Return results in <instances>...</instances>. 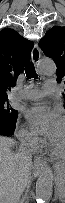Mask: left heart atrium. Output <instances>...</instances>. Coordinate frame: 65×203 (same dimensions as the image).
Masks as SVG:
<instances>
[{"label": "left heart atrium", "instance_id": "obj_1", "mask_svg": "<svg viewBox=\"0 0 65 203\" xmlns=\"http://www.w3.org/2000/svg\"><path fill=\"white\" fill-rule=\"evenodd\" d=\"M26 116L36 132L51 139L63 126L60 114L46 105H39L29 109Z\"/></svg>", "mask_w": 65, "mask_h": 203}]
</instances>
